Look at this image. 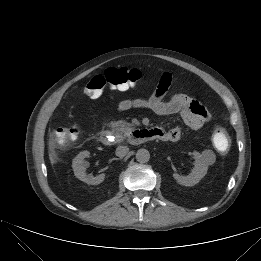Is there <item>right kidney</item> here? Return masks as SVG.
I'll return each instance as SVG.
<instances>
[{
    "mask_svg": "<svg viewBox=\"0 0 261 261\" xmlns=\"http://www.w3.org/2000/svg\"><path fill=\"white\" fill-rule=\"evenodd\" d=\"M89 151L80 152L72 162V168L74 171V175L81 181L90 184V185H98L102 183L105 179V174L102 173L96 177L86 175V166L83 161L85 158L89 157Z\"/></svg>",
    "mask_w": 261,
    "mask_h": 261,
    "instance_id": "right-kidney-1",
    "label": "right kidney"
}]
</instances>
